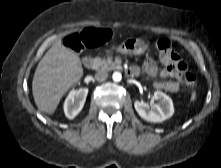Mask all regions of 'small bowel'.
Instances as JSON below:
<instances>
[{"label":"small bowel","mask_w":221,"mask_h":168,"mask_svg":"<svg viewBox=\"0 0 221 168\" xmlns=\"http://www.w3.org/2000/svg\"><path fill=\"white\" fill-rule=\"evenodd\" d=\"M161 61L165 68L161 71L160 78L154 82V87L168 92L178 91L182 83L188 78L189 72L187 67L174 51L166 56L161 55ZM134 69L138 74L141 71L138 67H134ZM142 71L150 77L156 76L158 73L156 62L152 58H147L143 63Z\"/></svg>","instance_id":"1"}]
</instances>
